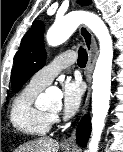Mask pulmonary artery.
<instances>
[{
  "label": "pulmonary artery",
  "mask_w": 123,
  "mask_h": 152,
  "mask_svg": "<svg viewBox=\"0 0 123 152\" xmlns=\"http://www.w3.org/2000/svg\"><path fill=\"white\" fill-rule=\"evenodd\" d=\"M76 61V54L73 51H65L57 55L47 66L37 71L30 79L29 85L35 88L48 86L60 71Z\"/></svg>",
  "instance_id": "1"
}]
</instances>
